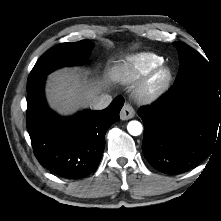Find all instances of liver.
<instances>
[{"label": "liver", "instance_id": "6515ba94", "mask_svg": "<svg viewBox=\"0 0 221 221\" xmlns=\"http://www.w3.org/2000/svg\"><path fill=\"white\" fill-rule=\"evenodd\" d=\"M103 87V81L86 84L76 69H62L49 75L46 95L52 109L61 115H70L81 107H92Z\"/></svg>", "mask_w": 221, "mask_h": 221}]
</instances>
